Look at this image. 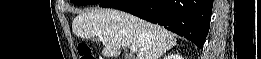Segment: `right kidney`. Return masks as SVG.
I'll return each mask as SVG.
<instances>
[{
  "label": "right kidney",
  "instance_id": "right-kidney-1",
  "mask_svg": "<svg viewBox=\"0 0 261 59\" xmlns=\"http://www.w3.org/2000/svg\"><path fill=\"white\" fill-rule=\"evenodd\" d=\"M168 59H183V58L179 54H175V55L169 56Z\"/></svg>",
  "mask_w": 261,
  "mask_h": 59
}]
</instances>
